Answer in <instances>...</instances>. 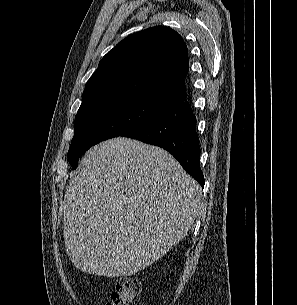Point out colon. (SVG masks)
<instances>
[{"label":"colon","instance_id":"1","mask_svg":"<svg viewBox=\"0 0 297 305\" xmlns=\"http://www.w3.org/2000/svg\"><path fill=\"white\" fill-rule=\"evenodd\" d=\"M139 293L138 281L131 277H123L117 282L107 305H140Z\"/></svg>","mask_w":297,"mask_h":305}]
</instances>
